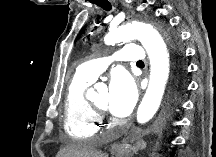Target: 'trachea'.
<instances>
[{"mask_svg": "<svg viewBox=\"0 0 216 157\" xmlns=\"http://www.w3.org/2000/svg\"><path fill=\"white\" fill-rule=\"evenodd\" d=\"M97 5L106 11H109L112 8L110 2L107 0L97 3ZM137 64H143V61H138Z\"/></svg>", "mask_w": 216, "mask_h": 157, "instance_id": "3493384b", "label": "trachea"}]
</instances>
